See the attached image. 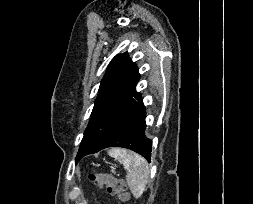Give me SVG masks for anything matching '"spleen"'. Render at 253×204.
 Here are the masks:
<instances>
[{
  "label": "spleen",
  "instance_id": "3e777b00",
  "mask_svg": "<svg viewBox=\"0 0 253 204\" xmlns=\"http://www.w3.org/2000/svg\"><path fill=\"white\" fill-rule=\"evenodd\" d=\"M109 155L123 164L127 170L126 181L135 198L142 196L149 179V166L147 161L137 153L126 149L113 148Z\"/></svg>",
  "mask_w": 253,
  "mask_h": 204
}]
</instances>
